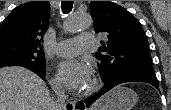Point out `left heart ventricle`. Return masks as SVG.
Instances as JSON below:
<instances>
[{
	"mask_svg": "<svg viewBox=\"0 0 171 110\" xmlns=\"http://www.w3.org/2000/svg\"><path fill=\"white\" fill-rule=\"evenodd\" d=\"M90 83H91V79L89 80V82H88V84H87L86 88L90 85Z\"/></svg>",
	"mask_w": 171,
	"mask_h": 110,
	"instance_id": "left-heart-ventricle-1",
	"label": "left heart ventricle"
}]
</instances>
